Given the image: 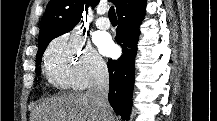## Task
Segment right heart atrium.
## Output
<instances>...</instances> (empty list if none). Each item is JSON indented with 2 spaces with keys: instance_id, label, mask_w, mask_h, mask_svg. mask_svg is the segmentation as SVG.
Wrapping results in <instances>:
<instances>
[{
  "instance_id": "1",
  "label": "right heart atrium",
  "mask_w": 217,
  "mask_h": 121,
  "mask_svg": "<svg viewBox=\"0 0 217 121\" xmlns=\"http://www.w3.org/2000/svg\"><path fill=\"white\" fill-rule=\"evenodd\" d=\"M44 70L48 80L61 89L82 90L108 75L103 58L76 32L50 43L44 55Z\"/></svg>"
}]
</instances>
